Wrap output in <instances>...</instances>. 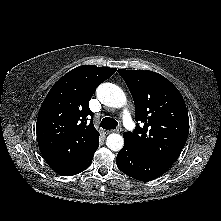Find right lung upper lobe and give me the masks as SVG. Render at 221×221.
<instances>
[{"instance_id":"cb5924a9","label":"right lung upper lobe","mask_w":221,"mask_h":221,"mask_svg":"<svg viewBox=\"0 0 221 221\" xmlns=\"http://www.w3.org/2000/svg\"><path fill=\"white\" fill-rule=\"evenodd\" d=\"M116 68L83 65L59 79L47 94L38 114L36 133L41 154L56 172L80 162L98 143L89 101L97 86Z\"/></svg>"}]
</instances>
